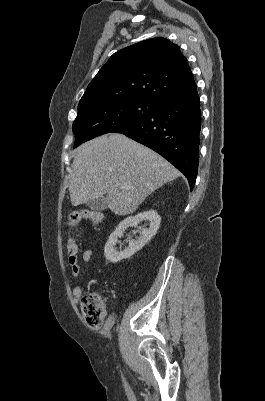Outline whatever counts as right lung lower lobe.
<instances>
[{
    "label": "right lung lower lobe",
    "mask_w": 265,
    "mask_h": 401,
    "mask_svg": "<svg viewBox=\"0 0 265 401\" xmlns=\"http://www.w3.org/2000/svg\"><path fill=\"white\" fill-rule=\"evenodd\" d=\"M201 109L196 85L160 101L149 116L115 130L167 159L194 187L199 164Z\"/></svg>",
    "instance_id": "98d812e1"
}]
</instances>
